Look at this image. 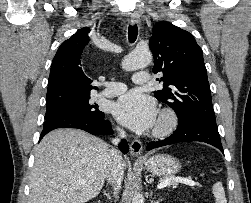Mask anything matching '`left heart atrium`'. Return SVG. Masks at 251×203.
<instances>
[{"instance_id": "39dd6f15", "label": "left heart atrium", "mask_w": 251, "mask_h": 203, "mask_svg": "<svg viewBox=\"0 0 251 203\" xmlns=\"http://www.w3.org/2000/svg\"><path fill=\"white\" fill-rule=\"evenodd\" d=\"M115 114L125 126L134 131L150 129L157 117L154 100L138 90L130 91L118 99Z\"/></svg>"}]
</instances>
